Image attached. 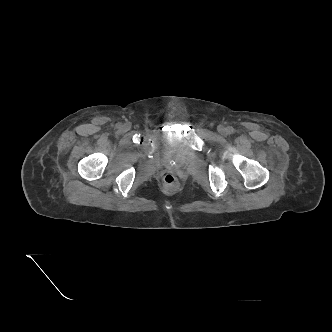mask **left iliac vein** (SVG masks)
Instances as JSON below:
<instances>
[{"instance_id": "left-iliac-vein-1", "label": "left iliac vein", "mask_w": 332, "mask_h": 332, "mask_svg": "<svg viewBox=\"0 0 332 332\" xmlns=\"http://www.w3.org/2000/svg\"><path fill=\"white\" fill-rule=\"evenodd\" d=\"M218 131L222 135H226L227 134V129L224 126H219L218 127Z\"/></svg>"}]
</instances>
